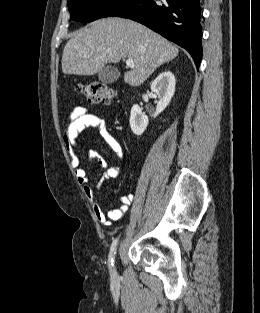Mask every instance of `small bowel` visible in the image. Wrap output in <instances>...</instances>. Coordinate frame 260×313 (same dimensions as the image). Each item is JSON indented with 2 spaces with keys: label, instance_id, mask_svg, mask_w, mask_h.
Segmentation results:
<instances>
[{
  "label": "small bowel",
  "instance_id": "1",
  "mask_svg": "<svg viewBox=\"0 0 260 313\" xmlns=\"http://www.w3.org/2000/svg\"><path fill=\"white\" fill-rule=\"evenodd\" d=\"M86 128H98L102 138L120 160L124 158V148L120 141L108 130L105 119L90 113L85 107H76L70 112L62 135L64 145L70 155L71 165L75 170L76 178L92 206L95 217L101 224L109 226L113 221L118 220L127 212L133 202L134 194L130 193L122 196L120 198L121 205L116 209L107 211L102 209L95 191L87 179L86 171L81 166L80 158L76 151L78 135ZM89 157L99 158L98 154L94 151L89 153ZM100 163L105 169L102 176L103 180L115 179L120 175V165L109 166L103 159H100Z\"/></svg>",
  "mask_w": 260,
  "mask_h": 313
}]
</instances>
